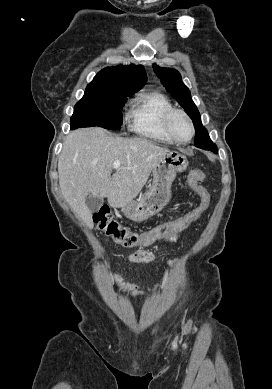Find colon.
I'll use <instances>...</instances> for the list:
<instances>
[{"label":"colon","instance_id":"colon-1","mask_svg":"<svg viewBox=\"0 0 272 389\" xmlns=\"http://www.w3.org/2000/svg\"><path fill=\"white\" fill-rule=\"evenodd\" d=\"M204 179L205 174L199 169H193L188 175V186L200 199V204L196 208L147 231L133 232L121 227L108 207H102L95 212L93 221L102 231L125 247L148 246L165 236L181 233L202 217L210 201L208 192L202 186Z\"/></svg>","mask_w":272,"mask_h":389}]
</instances>
